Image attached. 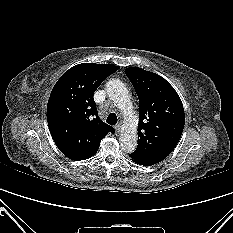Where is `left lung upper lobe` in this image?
Wrapping results in <instances>:
<instances>
[{
	"label": "left lung upper lobe",
	"mask_w": 233,
	"mask_h": 233,
	"mask_svg": "<svg viewBox=\"0 0 233 233\" xmlns=\"http://www.w3.org/2000/svg\"><path fill=\"white\" fill-rule=\"evenodd\" d=\"M125 73L139 98L138 146L129 156L151 166L176 147L185 124L184 108L175 89L161 76L137 67Z\"/></svg>",
	"instance_id": "left-lung-upper-lobe-1"
}]
</instances>
